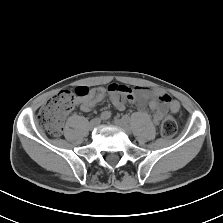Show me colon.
<instances>
[{
    "instance_id": "colon-1",
    "label": "colon",
    "mask_w": 223,
    "mask_h": 223,
    "mask_svg": "<svg viewBox=\"0 0 223 223\" xmlns=\"http://www.w3.org/2000/svg\"><path fill=\"white\" fill-rule=\"evenodd\" d=\"M86 86L77 87L74 92L62 90L52 96L38 111L36 121L51 136L58 137L63 129L66 115L73 109L76 98L89 95ZM177 131V123L173 116H166L161 123V133L165 138H172Z\"/></svg>"
}]
</instances>
